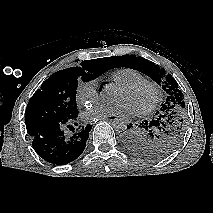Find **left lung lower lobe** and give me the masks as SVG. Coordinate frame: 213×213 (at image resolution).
I'll use <instances>...</instances> for the list:
<instances>
[{"mask_svg":"<svg viewBox=\"0 0 213 213\" xmlns=\"http://www.w3.org/2000/svg\"><path fill=\"white\" fill-rule=\"evenodd\" d=\"M149 121H145L139 128H133L132 124H129L127 126V130L123 131L122 139L123 143L126 146L127 149H129L132 153L135 152L139 145L138 137L141 133V131L148 128Z\"/></svg>","mask_w":213,"mask_h":213,"instance_id":"left-lung-lower-lobe-1","label":"left lung lower lobe"}]
</instances>
